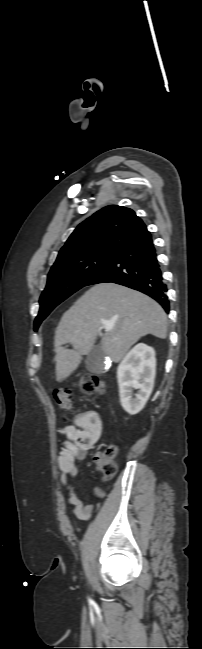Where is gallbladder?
<instances>
[{
    "label": "gallbladder",
    "mask_w": 202,
    "mask_h": 649,
    "mask_svg": "<svg viewBox=\"0 0 202 649\" xmlns=\"http://www.w3.org/2000/svg\"><path fill=\"white\" fill-rule=\"evenodd\" d=\"M104 362V353L100 349V346H94L91 351L87 354L85 359V365L87 370L93 373L102 372Z\"/></svg>",
    "instance_id": "bac80fb5"
}]
</instances>
